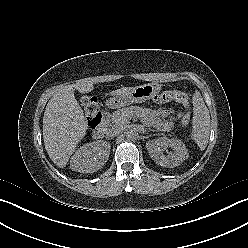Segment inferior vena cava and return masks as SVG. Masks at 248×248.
I'll return each instance as SVG.
<instances>
[{"instance_id": "inferior-vena-cava-1", "label": "inferior vena cava", "mask_w": 248, "mask_h": 248, "mask_svg": "<svg viewBox=\"0 0 248 248\" xmlns=\"http://www.w3.org/2000/svg\"><path fill=\"white\" fill-rule=\"evenodd\" d=\"M122 130L123 129L121 127H117V126L111 127L109 129H107L106 136H108V137L117 136L122 132Z\"/></svg>"}]
</instances>
